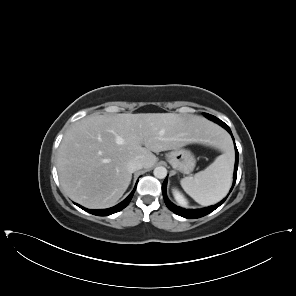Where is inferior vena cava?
<instances>
[{
  "mask_svg": "<svg viewBox=\"0 0 296 296\" xmlns=\"http://www.w3.org/2000/svg\"><path fill=\"white\" fill-rule=\"evenodd\" d=\"M127 168L128 170L133 173L137 170H140L143 168V164L140 160L138 159H133L131 161L128 162V165H127Z\"/></svg>",
  "mask_w": 296,
  "mask_h": 296,
  "instance_id": "602c4592",
  "label": "inferior vena cava"
}]
</instances>
